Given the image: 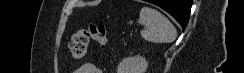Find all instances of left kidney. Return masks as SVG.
Here are the masks:
<instances>
[{
    "label": "left kidney",
    "mask_w": 244,
    "mask_h": 73,
    "mask_svg": "<svg viewBox=\"0 0 244 73\" xmlns=\"http://www.w3.org/2000/svg\"><path fill=\"white\" fill-rule=\"evenodd\" d=\"M148 62L145 57L136 55L124 58L118 65L117 73H145Z\"/></svg>",
    "instance_id": "1"
}]
</instances>
